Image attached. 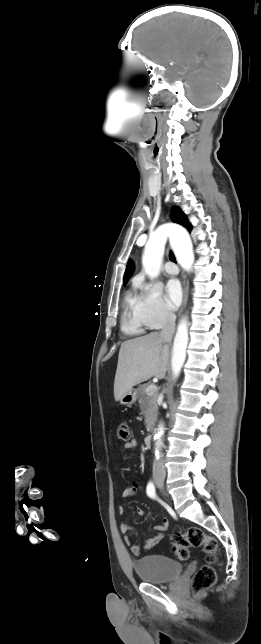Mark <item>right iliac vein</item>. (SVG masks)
Instances as JSON below:
<instances>
[{"label": "right iliac vein", "instance_id": "right-iliac-vein-1", "mask_svg": "<svg viewBox=\"0 0 261 644\" xmlns=\"http://www.w3.org/2000/svg\"><path fill=\"white\" fill-rule=\"evenodd\" d=\"M155 482L159 487H162L163 486V477L162 476H157L155 478Z\"/></svg>", "mask_w": 261, "mask_h": 644}]
</instances>
